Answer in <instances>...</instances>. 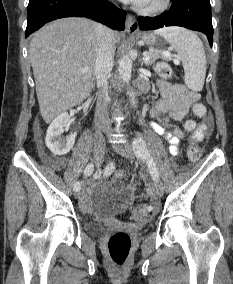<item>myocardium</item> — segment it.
<instances>
[{"label":"myocardium","instance_id":"myocardium-1","mask_svg":"<svg viewBox=\"0 0 233 284\" xmlns=\"http://www.w3.org/2000/svg\"><path fill=\"white\" fill-rule=\"evenodd\" d=\"M170 5V0H157L149 5H142L138 12L146 16H154L164 12Z\"/></svg>","mask_w":233,"mask_h":284}]
</instances>
